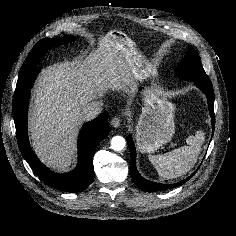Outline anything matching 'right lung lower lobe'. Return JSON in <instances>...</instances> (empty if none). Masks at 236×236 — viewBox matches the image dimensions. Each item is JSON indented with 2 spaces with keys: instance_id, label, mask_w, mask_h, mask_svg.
Segmentation results:
<instances>
[{
  "instance_id": "98d812e1",
  "label": "right lung lower lobe",
  "mask_w": 236,
  "mask_h": 236,
  "mask_svg": "<svg viewBox=\"0 0 236 236\" xmlns=\"http://www.w3.org/2000/svg\"><path fill=\"white\" fill-rule=\"evenodd\" d=\"M39 72L40 68L34 66L20 73L14 92L12 109L19 149L33 171L44 183L61 191L81 192L93 180V152L98 143L108 135V113H102L82 127L78 138L79 162L77 168L66 174L50 171L31 150L27 133L29 94Z\"/></svg>"
}]
</instances>
